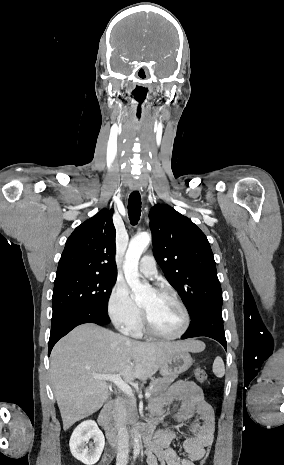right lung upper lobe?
Masks as SVG:
<instances>
[{"mask_svg":"<svg viewBox=\"0 0 284 465\" xmlns=\"http://www.w3.org/2000/svg\"><path fill=\"white\" fill-rule=\"evenodd\" d=\"M113 210H101L78 226L66 241L56 278L94 275L117 278Z\"/></svg>","mask_w":284,"mask_h":465,"instance_id":"cb5924a9","label":"right lung upper lobe"}]
</instances>
